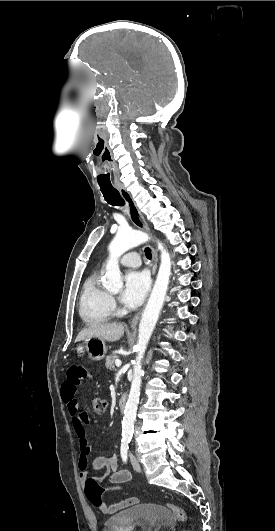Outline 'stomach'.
I'll use <instances>...</instances> for the list:
<instances>
[{"label": "stomach", "instance_id": "0dacf381", "mask_svg": "<svg viewBox=\"0 0 275 531\" xmlns=\"http://www.w3.org/2000/svg\"><path fill=\"white\" fill-rule=\"evenodd\" d=\"M75 349L68 351L67 358L69 361H82L85 353H88V357L92 361H102L107 353L105 341L98 339V337L86 339L84 343H79Z\"/></svg>", "mask_w": 275, "mask_h": 531}]
</instances>
